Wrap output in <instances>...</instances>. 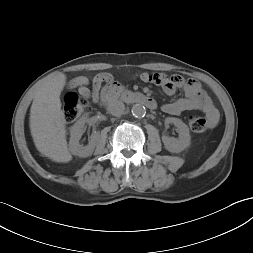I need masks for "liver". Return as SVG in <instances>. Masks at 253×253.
<instances>
[{"label":"liver","mask_w":253,"mask_h":253,"mask_svg":"<svg viewBox=\"0 0 253 253\" xmlns=\"http://www.w3.org/2000/svg\"><path fill=\"white\" fill-rule=\"evenodd\" d=\"M66 84L63 73L46 81L36 92L30 108V131L37 150L49 159L72 160L67 147L65 116L60 94Z\"/></svg>","instance_id":"1"}]
</instances>
